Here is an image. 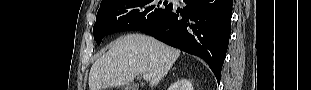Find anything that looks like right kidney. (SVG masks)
I'll return each instance as SVG.
<instances>
[{
  "instance_id": "right-kidney-1",
  "label": "right kidney",
  "mask_w": 311,
  "mask_h": 90,
  "mask_svg": "<svg viewBox=\"0 0 311 90\" xmlns=\"http://www.w3.org/2000/svg\"><path fill=\"white\" fill-rule=\"evenodd\" d=\"M176 88L181 90H193L192 84L188 80H181L177 82Z\"/></svg>"
}]
</instances>
